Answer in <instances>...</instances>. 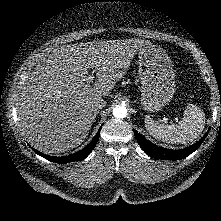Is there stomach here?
Wrapping results in <instances>:
<instances>
[{"label": "stomach", "mask_w": 221, "mask_h": 221, "mask_svg": "<svg viewBox=\"0 0 221 221\" xmlns=\"http://www.w3.org/2000/svg\"><path fill=\"white\" fill-rule=\"evenodd\" d=\"M141 105L147 111L162 109L175 92V76L167 55L158 47L148 45L139 51Z\"/></svg>", "instance_id": "1"}]
</instances>
